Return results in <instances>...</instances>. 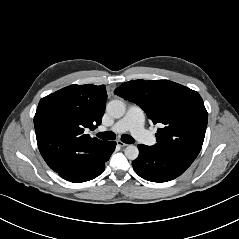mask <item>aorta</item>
I'll list each match as a JSON object with an SVG mask.
<instances>
[{
  "instance_id": "1",
  "label": "aorta",
  "mask_w": 239,
  "mask_h": 239,
  "mask_svg": "<svg viewBox=\"0 0 239 239\" xmlns=\"http://www.w3.org/2000/svg\"><path fill=\"white\" fill-rule=\"evenodd\" d=\"M106 110L113 118H121L126 111L125 104L120 100H112L107 106ZM139 155V150L135 145H128L125 148V156L130 160H135Z\"/></svg>"
}]
</instances>
